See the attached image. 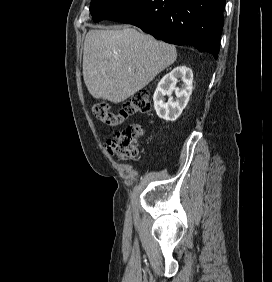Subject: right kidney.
<instances>
[{
    "instance_id": "obj_1",
    "label": "right kidney",
    "mask_w": 272,
    "mask_h": 282,
    "mask_svg": "<svg viewBox=\"0 0 272 282\" xmlns=\"http://www.w3.org/2000/svg\"><path fill=\"white\" fill-rule=\"evenodd\" d=\"M179 78H181L183 84L181 88H176ZM192 90V70L183 65L175 67L162 77L154 93V108L157 115L166 121H175L187 106ZM173 91L177 97L176 100L171 97ZM166 95L169 96L168 102L164 100Z\"/></svg>"
}]
</instances>
